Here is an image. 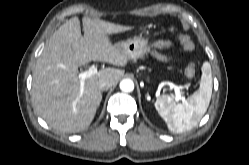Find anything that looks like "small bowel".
Segmentation results:
<instances>
[{"instance_id": "small-bowel-1", "label": "small bowel", "mask_w": 249, "mask_h": 165, "mask_svg": "<svg viewBox=\"0 0 249 165\" xmlns=\"http://www.w3.org/2000/svg\"><path fill=\"white\" fill-rule=\"evenodd\" d=\"M169 46H170L169 42L159 41V42H156L152 45V49H153V51L158 59L165 61V60H167V57L165 55L161 54L160 51L169 47Z\"/></svg>"}]
</instances>
